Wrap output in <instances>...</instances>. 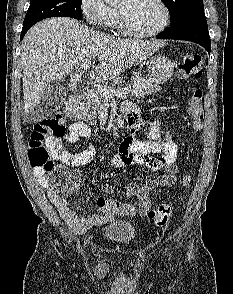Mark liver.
Wrapping results in <instances>:
<instances>
[{
	"mask_svg": "<svg viewBox=\"0 0 233 294\" xmlns=\"http://www.w3.org/2000/svg\"><path fill=\"white\" fill-rule=\"evenodd\" d=\"M162 45L157 40L111 37L70 18L44 20L22 41L24 111L38 107L46 87L72 75L86 59H98L95 72L99 79L107 80L146 60Z\"/></svg>",
	"mask_w": 233,
	"mask_h": 294,
	"instance_id": "obj_1",
	"label": "liver"
}]
</instances>
